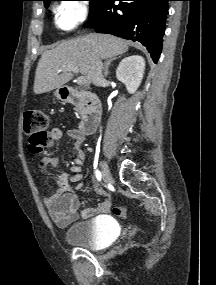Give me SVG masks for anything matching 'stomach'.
Masks as SVG:
<instances>
[{"mask_svg": "<svg viewBox=\"0 0 216 285\" xmlns=\"http://www.w3.org/2000/svg\"><path fill=\"white\" fill-rule=\"evenodd\" d=\"M55 97L57 98V99H63V97H62V95H61V93H60V90L58 89V90H56L55 91Z\"/></svg>", "mask_w": 216, "mask_h": 285, "instance_id": "1", "label": "stomach"}]
</instances>
